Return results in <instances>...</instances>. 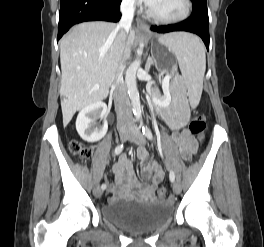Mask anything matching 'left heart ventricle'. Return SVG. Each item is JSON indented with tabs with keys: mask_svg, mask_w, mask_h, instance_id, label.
<instances>
[{
	"mask_svg": "<svg viewBox=\"0 0 264 247\" xmlns=\"http://www.w3.org/2000/svg\"><path fill=\"white\" fill-rule=\"evenodd\" d=\"M155 13L164 18L179 16L184 11L183 0H157L152 6Z\"/></svg>",
	"mask_w": 264,
	"mask_h": 247,
	"instance_id": "b2bd125f",
	"label": "left heart ventricle"
}]
</instances>
